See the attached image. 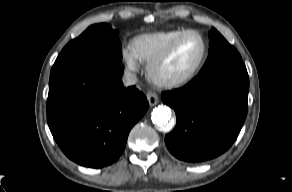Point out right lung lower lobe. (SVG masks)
<instances>
[{
  "label": "right lung lower lobe",
  "mask_w": 292,
  "mask_h": 192,
  "mask_svg": "<svg viewBox=\"0 0 292 192\" xmlns=\"http://www.w3.org/2000/svg\"><path fill=\"white\" fill-rule=\"evenodd\" d=\"M123 71L104 53L59 55L51 69L48 125L65 155L82 166L115 162L149 107L135 86H123Z\"/></svg>",
  "instance_id": "obj_1"
}]
</instances>
